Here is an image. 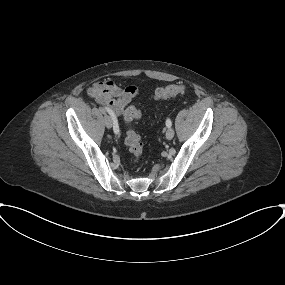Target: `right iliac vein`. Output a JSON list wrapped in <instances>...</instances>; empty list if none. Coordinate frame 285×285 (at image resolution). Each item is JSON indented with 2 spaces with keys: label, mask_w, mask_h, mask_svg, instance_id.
<instances>
[{
  "label": "right iliac vein",
  "mask_w": 285,
  "mask_h": 285,
  "mask_svg": "<svg viewBox=\"0 0 285 285\" xmlns=\"http://www.w3.org/2000/svg\"><path fill=\"white\" fill-rule=\"evenodd\" d=\"M104 123H105V126L110 129L112 128V125H113V121H112V118L108 115H105L104 117Z\"/></svg>",
  "instance_id": "63e3f726"
}]
</instances>
